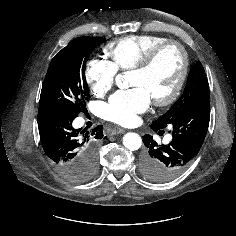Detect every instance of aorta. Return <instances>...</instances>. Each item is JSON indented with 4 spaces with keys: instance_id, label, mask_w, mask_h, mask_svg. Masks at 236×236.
I'll return each instance as SVG.
<instances>
[{
    "instance_id": "aorta-1",
    "label": "aorta",
    "mask_w": 236,
    "mask_h": 236,
    "mask_svg": "<svg viewBox=\"0 0 236 236\" xmlns=\"http://www.w3.org/2000/svg\"><path fill=\"white\" fill-rule=\"evenodd\" d=\"M115 81L119 88H124L127 85L124 75H117ZM123 145L129 150L135 151L141 147L142 139L137 133L129 132L123 137Z\"/></svg>"
}]
</instances>
